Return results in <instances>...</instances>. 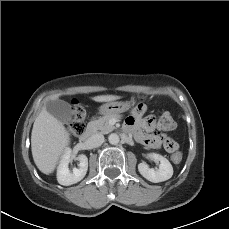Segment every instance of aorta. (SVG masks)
Returning a JSON list of instances; mask_svg holds the SVG:
<instances>
[{
	"instance_id": "aorta-1",
	"label": "aorta",
	"mask_w": 229,
	"mask_h": 229,
	"mask_svg": "<svg viewBox=\"0 0 229 229\" xmlns=\"http://www.w3.org/2000/svg\"><path fill=\"white\" fill-rule=\"evenodd\" d=\"M108 141H109L110 144L116 145V144L119 143L120 139H119V136L116 133H112V134L109 135Z\"/></svg>"
}]
</instances>
